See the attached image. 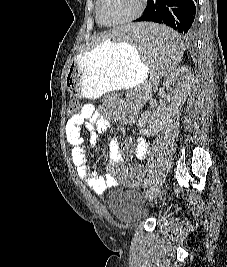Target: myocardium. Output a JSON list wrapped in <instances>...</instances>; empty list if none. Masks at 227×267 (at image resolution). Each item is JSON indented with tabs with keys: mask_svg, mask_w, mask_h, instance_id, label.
<instances>
[{
	"mask_svg": "<svg viewBox=\"0 0 227 267\" xmlns=\"http://www.w3.org/2000/svg\"><path fill=\"white\" fill-rule=\"evenodd\" d=\"M102 2L103 0H97L96 15H97L98 20L103 25H106V26L122 25V24H126V23L136 20L143 14L144 10L146 9V5H147V0H139V5H138L137 10L133 14H131L129 17L119 20V21H115V22H106L102 18V13H101Z\"/></svg>",
	"mask_w": 227,
	"mask_h": 267,
	"instance_id": "1",
	"label": "myocardium"
}]
</instances>
